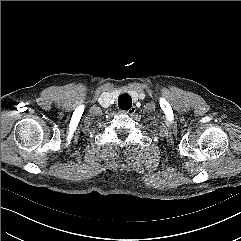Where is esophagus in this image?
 Returning a JSON list of instances; mask_svg holds the SVG:
<instances>
[{
	"instance_id": "1",
	"label": "esophagus",
	"mask_w": 241,
	"mask_h": 241,
	"mask_svg": "<svg viewBox=\"0 0 241 241\" xmlns=\"http://www.w3.org/2000/svg\"><path fill=\"white\" fill-rule=\"evenodd\" d=\"M136 112V107H131L129 110L127 111H121V113L123 114H128V115H133Z\"/></svg>"
}]
</instances>
